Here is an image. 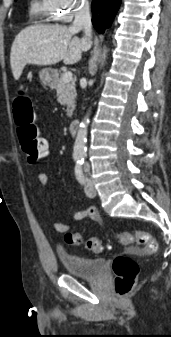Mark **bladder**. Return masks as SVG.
<instances>
[{
	"label": "bladder",
	"instance_id": "obj_1",
	"mask_svg": "<svg viewBox=\"0 0 171 337\" xmlns=\"http://www.w3.org/2000/svg\"><path fill=\"white\" fill-rule=\"evenodd\" d=\"M60 258L69 275L94 279L104 273L105 260L103 258H86L69 253H62Z\"/></svg>",
	"mask_w": 171,
	"mask_h": 337
}]
</instances>
